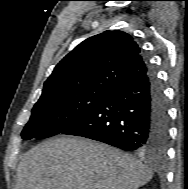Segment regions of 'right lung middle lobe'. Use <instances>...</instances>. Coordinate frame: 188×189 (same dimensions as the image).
<instances>
[{"label": "right lung middle lobe", "instance_id": "obj_1", "mask_svg": "<svg viewBox=\"0 0 188 189\" xmlns=\"http://www.w3.org/2000/svg\"><path fill=\"white\" fill-rule=\"evenodd\" d=\"M111 91L93 88L40 97L22 131V138L42 139L62 133L81 121Z\"/></svg>", "mask_w": 188, "mask_h": 189}]
</instances>
